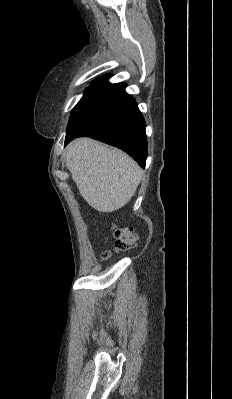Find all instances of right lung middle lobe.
Masks as SVG:
<instances>
[{"instance_id":"obj_1","label":"right lung middle lobe","mask_w":232,"mask_h":399,"mask_svg":"<svg viewBox=\"0 0 232 399\" xmlns=\"http://www.w3.org/2000/svg\"><path fill=\"white\" fill-rule=\"evenodd\" d=\"M97 84H93L92 86H90L88 89H90V88H92V87H94V86H96Z\"/></svg>"}]
</instances>
